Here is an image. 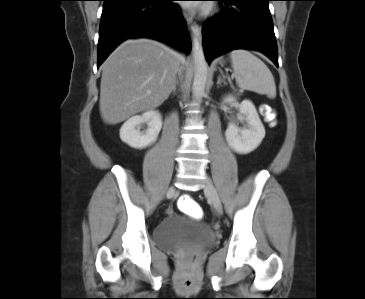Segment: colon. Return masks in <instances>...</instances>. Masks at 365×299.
<instances>
[{"label": "colon", "mask_w": 365, "mask_h": 299, "mask_svg": "<svg viewBox=\"0 0 365 299\" xmlns=\"http://www.w3.org/2000/svg\"><path fill=\"white\" fill-rule=\"evenodd\" d=\"M270 114L271 113H269V115ZM178 207L182 212L187 213L193 217L198 218L202 215V210L199 204L189 195H182L178 199Z\"/></svg>", "instance_id": "1"}]
</instances>
